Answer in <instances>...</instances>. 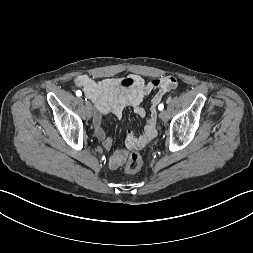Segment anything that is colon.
Wrapping results in <instances>:
<instances>
[{
	"instance_id": "obj_1",
	"label": "colon",
	"mask_w": 253,
	"mask_h": 253,
	"mask_svg": "<svg viewBox=\"0 0 253 253\" xmlns=\"http://www.w3.org/2000/svg\"><path fill=\"white\" fill-rule=\"evenodd\" d=\"M143 165V159L140 153L132 152L125 164V172L134 174L138 172Z\"/></svg>"
}]
</instances>
